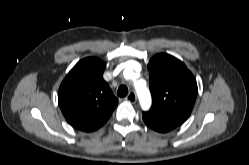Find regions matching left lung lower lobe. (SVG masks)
Listing matches in <instances>:
<instances>
[{"label":"left lung lower lobe","instance_id":"1","mask_svg":"<svg viewBox=\"0 0 249 165\" xmlns=\"http://www.w3.org/2000/svg\"><path fill=\"white\" fill-rule=\"evenodd\" d=\"M143 120H144V122L146 123V125L148 127H150L151 129H153L155 131L162 132V133L171 131L172 129L176 128V127H174L172 125L159 123V122H154V121H151V120L146 119L144 117H143Z\"/></svg>","mask_w":249,"mask_h":165}]
</instances>
